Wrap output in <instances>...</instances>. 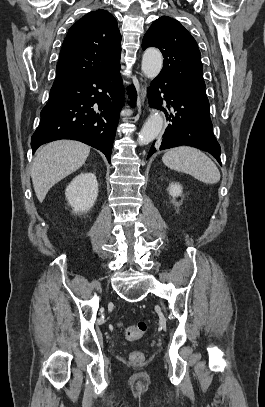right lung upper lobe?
<instances>
[{
    "label": "right lung upper lobe",
    "instance_id": "cb5924a9",
    "mask_svg": "<svg viewBox=\"0 0 265 407\" xmlns=\"http://www.w3.org/2000/svg\"><path fill=\"white\" fill-rule=\"evenodd\" d=\"M120 43L117 21L109 12L97 10L86 14L68 30L53 87H67L119 65Z\"/></svg>",
    "mask_w": 265,
    "mask_h": 407
}]
</instances>
